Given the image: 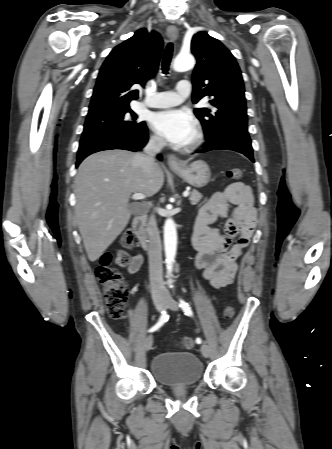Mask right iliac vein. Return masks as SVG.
<instances>
[{"mask_svg":"<svg viewBox=\"0 0 332 449\" xmlns=\"http://www.w3.org/2000/svg\"><path fill=\"white\" fill-rule=\"evenodd\" d=\"M154 304H155L156 309L161 312L165 305L163 297H161V296L156 297L154 299ZM152 344H153V337H152V335H148L144 342L145 350L149 351L152 347Z\"/></svg>","mask_w":332,"mask_h":449,"instance_id":"1","label":"right iliac vein"}]
</instances>
